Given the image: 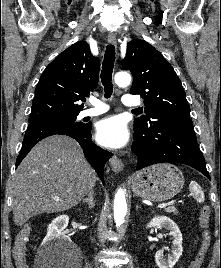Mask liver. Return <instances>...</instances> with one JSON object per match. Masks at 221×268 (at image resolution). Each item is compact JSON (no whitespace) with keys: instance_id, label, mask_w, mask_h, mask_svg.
<instances>
[{"instance_id":"6515ba94","label":"liver","mask_w":221,"mask_h":268,"mask_svg":"<svg viewBox=\"0 0 221 268\" xmlns=\"http://www.w3.org/2000/svg\"><path fill=\"white\" fill-rule=\"evenodd\" d=\"M97 180L78 143L56 135L40 141L19 165L12 181L13 220L71 209Z\"/></svg>"}]
</instances>
